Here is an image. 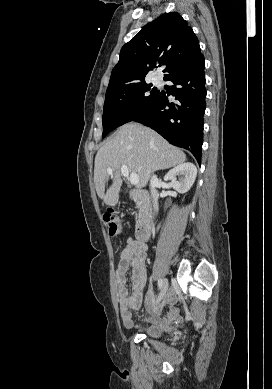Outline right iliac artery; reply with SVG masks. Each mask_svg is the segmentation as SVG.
<instances>
[{
	"mask_svg": "<svg viewBox=\"0 0 272 389\" xmlns=\"http://www.w3.org/2000/svg\"><path fill=\"white\" fill-rule=\"evenodd\" d=\"M162 285H163V280H162V279H159V280H158L159 289L162 288Z\"/></svg>",
	"mask_w": 272,
	"mask_h": 389,
	"instance_id": "obj_1",
	"label": "right iliac artery"
}]
</instances>
